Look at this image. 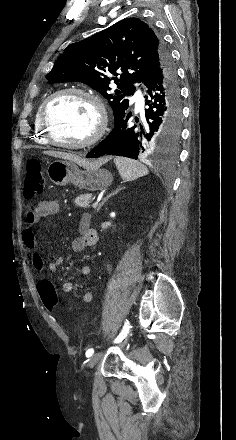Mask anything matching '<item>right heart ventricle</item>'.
Returning <instances> with one entry per match:
<instances>
[{"instance_id":"e07e8e85","label":"right heart ventricle","mask_w":236,"mask_h":440,"mask_svg":"<svg viewBox=\"0 0 236 440\" xmlns=\"http://www.w3.org/2000/svg\"><path fill=\"white\" fill-rule=\"evenodd\" d=\"M43 103L44 102H42L38 106V108L36 110V113H35V117H34V139H35V141L37 143L47 145L49 143H48V141H47V139H46V137H45V135H44V133L42 131V128L40 126V121H39L40 111H41Z\"/></svg>"}]
</instances>
